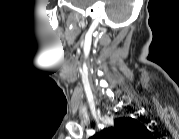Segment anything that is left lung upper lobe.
<instances>
[{"mask_svg":"<svg viewBox=\"0 0 179 139\" xmlns=\"http://www.w3.org/2000/svg\"><path fill=\"white\" fill-rule=\"evenodd\" d=\"M115 127L105 128L93 139H142L149 134L148 130L132 118L115 119Z\"/></svg>","mask_w":179,"mask_h":139,"instance_id":"1","label":"left lung upper lobe"}]
</instances>
